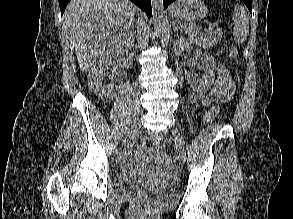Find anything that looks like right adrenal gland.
I'll use <instances>...</instances> for the list:
<instances>
[{
  "label": "right adrenal gland",
  "mask_w": 293,
  "mask_h": 219,
  "mask_svg": "<svg viewBox=\"0 0 293 219\" xmlns=\"http://www.w3.org/2000/svg\"><path fill=\"white\" fill-rule=\"evenodd\" d=\"M135 38L132 40V47H134Z\"/></svg>",
  "instance_id": "2a0ac1e0"
}]
</instances>
